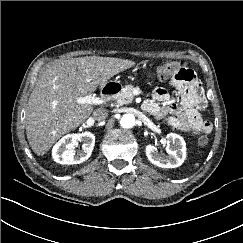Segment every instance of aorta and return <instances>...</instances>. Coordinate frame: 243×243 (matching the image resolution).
Listing matches in <instances>:
<instances>
[{
  "label": "aorta",
  "mask_w": 243,
  "mask_h": 243,
  "mask_svg": "<svg viewBox=\"0 0 243 243\" xmlns=\"http://www.w3.org/2000/svg\"><path fill=\"white\" fill-rule=\"evenodd\" d=\"M120 125L125 129L132 128L135 125V116L133 114H124L120 119Z\"/></svg>",
  "instance_id": "1"
}]
</instances>
